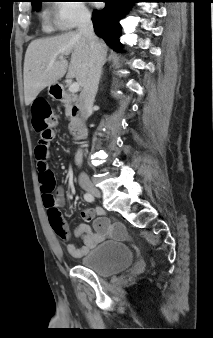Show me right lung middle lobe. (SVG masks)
Segmentation results:
<instances>
[{
  "mask_svg": "<svg viewBox=\"0 0 213 338\" xmlns=\"http://www.w3.org/2000/svg\"><path fill=\"white\" fill-rule=\"evenodd\" d=\"M31 3H32V7L35 9V10H38L40 8V4L43 0H30Z\"/></svg>",
  "mask_w": 213,
  "mask_h": 338,
  "instance_id": "1",
  "label": "right lung middle lobe"
}]
</instances>
